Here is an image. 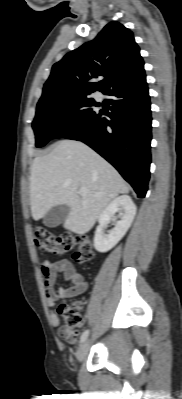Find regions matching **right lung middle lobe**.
Wrapping results in <instances>:
<instances>
[{
  "mask_svg": "<svg viewBox=\"0 0 182 399\" xmlns=\"http://www.w3.org/2000/svg\"><path fill=\"white\" fill-rule=\"evenodd\" d=\"M95 105L88 95H69L41 100L37 104L32 127L36 146L42 147L53 138L81 129L95 114Z\"/></svg>",
  "mask_w": 182,
  "mask_h": 399,
  "instance_id": "1",
  "label": "right lung middle lobe"
}]
</instances>
